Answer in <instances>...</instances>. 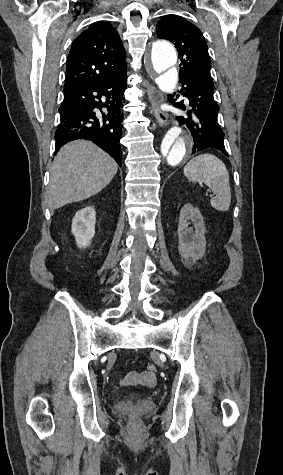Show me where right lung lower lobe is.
I'll return each mask as SVG.
<instances>
[{"label": "right lung lower lobe", "mask_w": 283, "mask_h": 475, "mask_svg": "<svg viewBox=\"0 0 283 475\" xmlns=\"http://www.w3.org/2000/svg\"><path fill=\"white\" fill-rule=\"evenodd\" d=\"M126 79V74H123L106 81L79 83L64 88V100L59 108L60 124L55 133L57 151L72 140H91L121 166L120 139Z\"/></svg>", "instance_id": "right-lung-lower-lobe-1"}]
</instances>
